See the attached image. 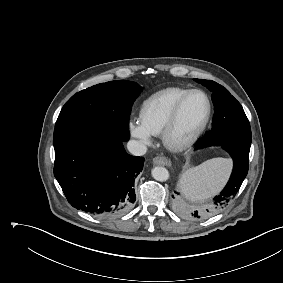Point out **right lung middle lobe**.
<instances>
[{"mask_svg":"<svg viewBox=\"0 0 283 283\" xmlns=\"http://www.w3.org/2000/svg\"><path fill=\"white\" fill-rule=\"evenodd\" d=\"M142 89L135 82L116 80L94 85L73 95L56 121L54 149L89 133H107L127 141L131 107Z\"/></svg>","mask_w":283,"mask_h":283,"instance_id":"dd1d6c3e","label":"right lung middle lobe"}]
</instances>
